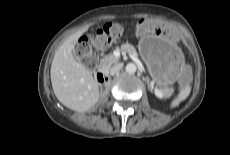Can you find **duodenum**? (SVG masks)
<instances>
[{
	"instance_id": "410a0bca",
	"label": "duodenum",
	"mask_w": 230,
	"mask_h": 155,
	"mask_svg": "<svg viewBox=\"0 0 230 155\" xmlns=\"http://www.w3.org/2000/svg\"><path fill=\"white\" fill-rule=\"evenodd\" d=\"M95 77H96V80L101 84H104L108 81V73L103 68L97 70Z\"/></svg>"
}]
</instances>
